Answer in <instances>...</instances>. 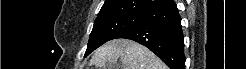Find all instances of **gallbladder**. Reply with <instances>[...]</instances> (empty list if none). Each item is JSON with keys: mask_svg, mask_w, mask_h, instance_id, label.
I'll use <instances>...</instances> for the list:
<instances>
[{"mask_svg": "<svg viewBox=\"0 0 246 69\" xmlns=\"http://www.w3.org/2000/svg\"><path fill=\"white\" fill-rule=\"evenodd\" d=\"M107 69H109V67H107ZM111 69H122V66L120 64H114Z\"/></svg>", "mask_w": 246, "mask_h": 69, "instance_id": "1", "label": "gallbladder"}]
</instances>
